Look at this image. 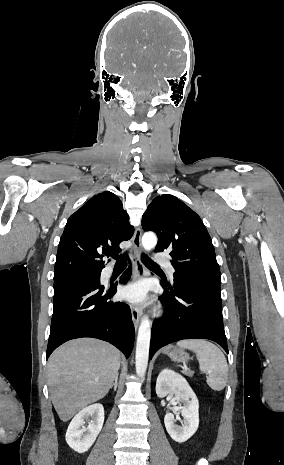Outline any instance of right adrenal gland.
<instances>
[{"label": "right adrenal gland", "instance_id": "2a0ac1e0", "mask_svg": "<svg viewBox=\"0 0 284 465\" xmlns=\"http://www.w3.org/2000/svg\"><path fill=\"white\" fill-rule=\"evenodd\" d=\"M118 377H119V373H117L115 379H114V383L113 385H111L110 389H112V387H114V391H117V387H118Z\"/></svg>", "mask_w": 284, "mask_h": 465}]
</instances>
